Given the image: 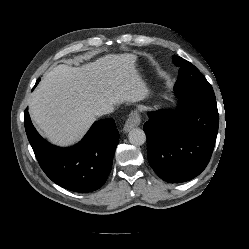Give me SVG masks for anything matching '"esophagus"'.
Instances as JSON below:
<instances>
[{"instance_id":"1","label":"esophagus","mask_w":249,"mask_h":249,"mask_svg":"<svg viewBox=\"0 0 249 249\" xmlns=\"http://www.w3.org/2000/svg\"><path fill=\"white\" fill-rule=\"evenodd\" d=\"M141 119L140 115L137 111H134L130 114L128 119L126 120L123 130L125 132H129L131 129L138 127L140 125Z\"/></svg>"}]
</instances>
